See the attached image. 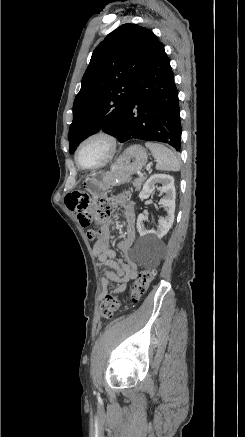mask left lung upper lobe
Returning <instances> with one entry per match:
<instances>
[{"instance_id": "1", "label": "left lung upper lobe", "mask_w": 245, "mask_h": 437, "mask_svg": "<svg viewBox=\"0 0 245 437\" xmlns=\"http://www.w3.org/2000/svg\"><path fill=\"white\" fill-rule=\"evenodd\" d=\"M160 43L149 29L126 23L96 47L74 100L70 153L99 130L121 138L133 86Z\"/></svg>"}]
</instances>
